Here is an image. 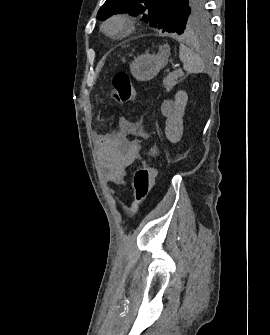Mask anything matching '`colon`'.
Returning a JSON list of instances; mask_svg holds the SVG:
<instances>
[{
	"mask_svg": "<svg viewBox=\"0 0 270 335\" xmlns=\"http://www.w3.org/2000/svg\"><path fill=\"white\" fill-rule=\"evenodd\" d=\"M116 99L120 102H130L135 97V88L126 71H118L112 78ZM156 173L151 166L146 164L138 167L133 174L134 199L133 208L145 202L155 184Z\"/></svg>",
	"mask_w": 270,
	"mask_h": 335,
	"instance_id": "1",
	"label": "colon"
}]
</instances>
